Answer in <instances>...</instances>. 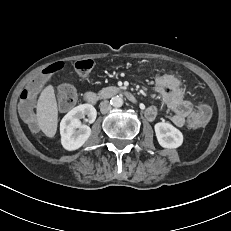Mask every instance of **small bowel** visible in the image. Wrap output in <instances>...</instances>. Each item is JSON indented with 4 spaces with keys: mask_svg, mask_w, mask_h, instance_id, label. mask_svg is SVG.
<instances>
[{
    "mask_svg": "<svg viewBox=\"0 0 231 231\" xmlns=\"http://www.w3.org/2000/svg\"><path fill=\"white\" fill-rule=\"evenodd\" d=\"M161 76L162 75H159L155 78V90L160 95L162 101L167 107L168 117L171 123L177 127H182L192 112V105L184 98V94L179 92V90L176 89L172 83L162 82L160 80ZM158 114L159 110L156 106L152 105L145 109V117L149 121H154Z\"/></svg>",
    "mask_w": 231,
    "mask_h": 231,
    "instance_id": "small-bowel-1",
    "label": "small bowel"
}]
</instances>
